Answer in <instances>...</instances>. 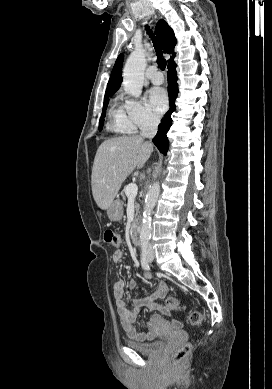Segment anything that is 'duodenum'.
<instances>
[{
    "label": "duodenum",
    "instance_id": "1",
    "mask_svg": "<svg viewBox=\"0 0 272 389\" xmlns=\"http://www.w3.org/2000/svg\"><path fill=\"white\" fill-rule=\"evenodd\" d=\"M130 239H131V242L134 244V245H139L140 244V239H139V224L138 222L136 221L131 230H130Z\"/></svg>",
    "mask_w": 272,
    "mask_h": 389
}]
</instances>
